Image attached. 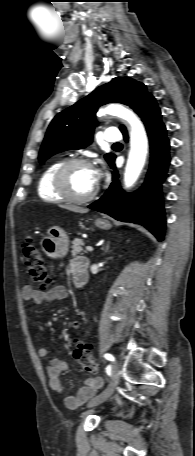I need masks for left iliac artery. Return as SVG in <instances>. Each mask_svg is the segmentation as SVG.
I'll use <instances>...</instances> for the list:
<instances>
[{"instance_id":"left-iliac-artery-1","label":"left iliac artery","mask_w":195,"mask_h":456,"mask_svg":"<svg viewBox=\"0 0 195 456\" xmlns=\"http://www.w3.org/2000/svg\"><path fill=\"white\" fill-rule=\"evenodd\" d=\"M104 357L109 360V361H114L115 358L113 357V355L109 354V353H106L104 354Z\"/></svg>"}]
</instances>
